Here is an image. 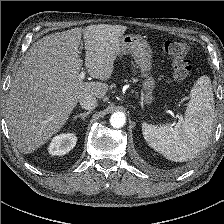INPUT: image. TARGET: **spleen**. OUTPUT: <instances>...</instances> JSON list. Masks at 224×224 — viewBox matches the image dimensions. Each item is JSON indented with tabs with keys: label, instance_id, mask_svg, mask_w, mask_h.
<instances>
[{
	"label": "spleen",
	"instance_id": "obj_1",
	"mask_svg": "<svg viewBox=\"0 0 224 224\" xmlns=\"http://www.w3.org/2000/svg\"><path fill=\"white\" fill-rule=\"evenodd\" d=\"M185 119L174 127L143 123L144 139L155 151L174 162L194 159L207 145L214 123V96L211 81L204 75L198 78L190 92Z\"/></svg>",
	"mask_w": 224,
	"mask_h": 224
}]
</instances>
